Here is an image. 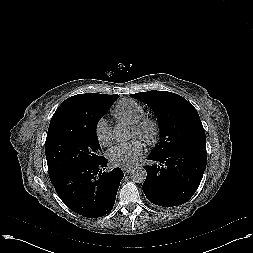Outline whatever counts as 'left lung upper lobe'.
Here are the masks:
<instances>
[{
	"label": "left lung upper lobe",
	"instance_id": "1",
	"mask_svg": "<svg viewBox=\"0 0 253 253\" xmlns=\"http://www.w3.org/2000/svg\"><path fill=\"white\" fill-rule=\"evenodd\" d=\"M152 108L160 129V140L153 153L163 154L180 146L206 149V136L197 110L182 96L167 91L130 95Z\"/></svg>",
	"mask_w": 253,
	"mask_h": 253
}]
</instances>
